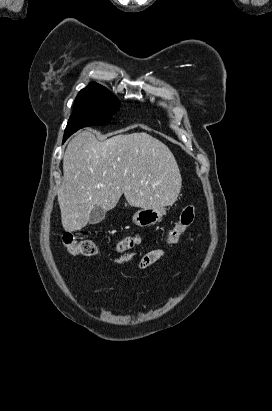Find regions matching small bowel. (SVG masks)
<instances>
[{"instance_id":"1","label":"small bowel","mask_w":272,"mask_h":411,"mask_svg":"<svg viewBox=\"0 0 272 411\" xmlns=\"http://www.w3.org/2000/svg\"><path fill=\"white\" fill-rule=\"evenodd\" d=\"M142 241V237L139 235L127 236L122 239L117 245V251H125L133 246L139 244ZM167 255V253L162 249H153L146 252L138 263V267L141 269L147 268L157 261L161 260Z\"/></svg>"}]
</instances>
